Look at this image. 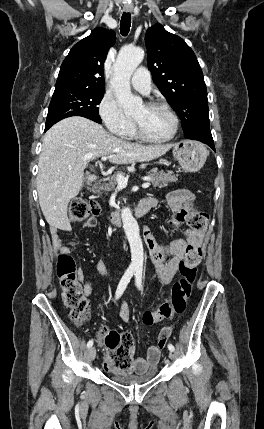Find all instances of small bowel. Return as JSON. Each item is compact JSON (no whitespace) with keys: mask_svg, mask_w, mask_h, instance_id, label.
<instances>
[{"mask_svg":"<svg viewBox=\"0 0 264 429\" xmlns=\"http://www.w3.org/2000/svg\"><path fill=\"white\" fill-rule=\"evenodd\" d=\"M168 204L173 209L169 225L173 229H179L185 220L187 211L192 207L195 197L188 190H175L170 192L166 198ZM141 202L151 204V209L158 205V200L148 198ZM96 219L89 218L84 224L85 228H93L96 226ZM54 248L59 252L67 253L68 249L62 243L59 235V230L54 229L51 233ZM143 238L149 249L151 262L157 272L158 280L162 284H168L172 281L177 273L178 265L183 256L191 246L199 247L201 245L203 234L194 230L186 229L183 238L172 241L169 244L159 245L152 231L149 228H144ZM97 268L104 274H107L105 268L97 265ZM78 279L84 285L85 294L91 293V283L82 271H78ZM120 317L124 322H128L131 318L129 306L122 302L120 309ZM172 328H164L161 333L167 334V339L171 334ZM161 348L158 345H152L148 348L145 357H136L132 362V372L142 374L150 368L155 367L159 361ZM107 354L104 357L103 367L108 371L106 363Z\"/></svg>","mask_w":264,"mask_h":429,"instance_id":"1","label":"small bowel"}]
</instances>
